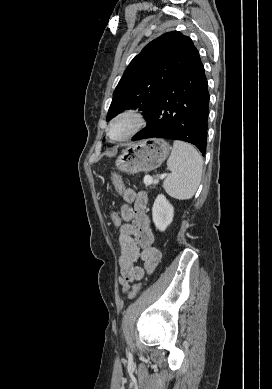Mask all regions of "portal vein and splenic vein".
Returning <instances> with one entry per match:
<instances>
[{"instance_id":"portal-vein-and-splenic-vein-1","label":"portal vein and splenic vein","mask_w":272,"mask_h":389,"mask_svg":"<svg viewBox=\"0 0 272 389\" xmlns=\"http://www.w3.org/2000/svg\"><path fill=\"white\" fill-rule=\"evenodd\" d=\"M165 176H166V174H161V175L159 176V178H160V179H163ZM144 181L147 182V183L156 182V181H154V180L152 179V177H148V176H146V177L144 178Z\"/></svg>"}]
</instances>
